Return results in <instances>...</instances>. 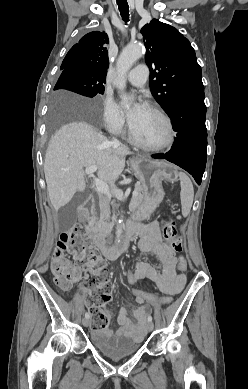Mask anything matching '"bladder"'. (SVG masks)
I'll list each match as a JSON object with an SVG mask.
<instances>
[{
	"label": "bladder",
	"instance_id": "obj_1",
	"mask_svg": "<svg viewBox=\"0 0 248 389\" xmlns=\"http://www.w3.org/2000/svg\"><path fill=\"white\" fill-rule=\"evenodd\" d=\"M92 345L99 353L112 359L131 356L141 349V345L129 337L103 332H94Z\"/></svg>",
	"mask_w": 248,
	"mask_h": 389
}]
</instances>
